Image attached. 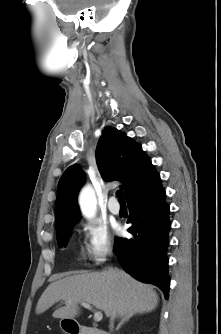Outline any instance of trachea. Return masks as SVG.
<instances>
[{
    "mask_svg": "<svg viewBox=\"0 0 221 334\" xmlns=\"http://www.w3.org/2000/svg\"><path fill=\"white\" fill-rule=\"evenodd\" d=\"M116 195H117V197L119 198V201L121 202V203H124L125 201H124V198L122 197L123 196V191L122 190H118L117 192H116Z\"/></svg>",
    "mask_w": 221,
    "mask_h": 334,
    "instance_id": "trachea-1",
    "label": "trachea"
}]
</instances>
